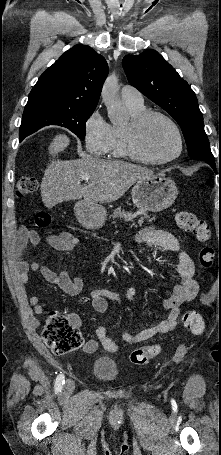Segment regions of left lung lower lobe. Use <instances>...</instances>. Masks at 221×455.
I'll return each mask as SVG.
<instances>
[{
	"label": "left lung lower lobe",
	"instance_id": "obj_1",
	"mask_svg": "<svg viewBox=\"0 0 221 455\" xmlns=\"http://www.w3.org/2000/svg\"><path fill=\"white\" fill-rule=\"evenodd\" d=\"M205 162L208 163L213 168V170L216 172V165H215L214 159L205 160ZM219 171H220V167H219Z\"/></svg>",
	"mask_w": 221,
	"mask_h": 455
}]
</instances>
